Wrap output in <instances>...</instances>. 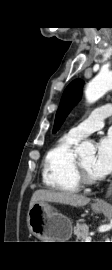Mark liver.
<instances>
[{"label": "liver", "instance_id": "1", "mask_svg": "<svg viewBox=\"0 0 112 270\" xmlns=\"http://www.w3.org/2000/svg\"><path fill=\"white\" fill-rule=\"evenodd\" d=\"M37 202H55L71 205L73 207H82L90 202V198L84 195L65 191H51L40 189L33 193L30 200L29 208Z\"/></svg>", "mask_w": 112, "mask_h": 270}]
</instances>
